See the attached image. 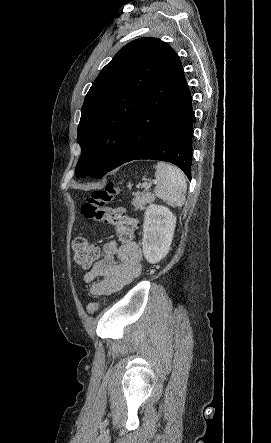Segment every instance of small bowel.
<instances>
[{
	"label": "small bowel",
	"instance_id": "1",
	"mask_svg": "<svg viewBox=\"0 0 271 443\" xmlns=\"http://www.w3.org/2000/svg\"><path fill=\"white\" fill-rule=\"evenodd\" d=\"M141 261V249L136 243L109 241L103 246L102 257L83 275V283L92 296L108 298L140 274Z\"/></svg>",
	"mask_w": 271,
	"mask_h": 443
}]
</instances>
